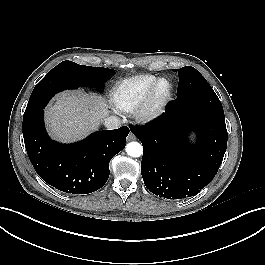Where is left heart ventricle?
<instances>
[{
    "instance_id": "b2bd125f",
    "label": "left heart ventricle",
    "mask_w": 265,
    "mask_h": 265,
    "mask_svg": "<svg viewBox=\"0 0 265 265\" xmlns=\"http://www.w3.org/2000/svg\"><path fill=\"white\" fill-rule=\"evenodd\" d=\"M168 88V84L166 82H162L160 85H159V88H158V93L161 95L163 94Z\"/></svg>"
}]
</instances>
